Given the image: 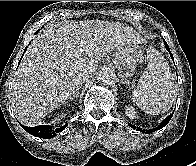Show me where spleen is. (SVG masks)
Returning a JSON list of instances; mask_svg holds the SVG:
<instances>
[{"label":"spleen","instance_id":"spleen-1","mask_svg":"<svg viewBox=\"0 0 196 166\" xmlns=\"http://www.w3.org/2000/svg\"><path fill=\"white\" fill-rule=\"evenodd\" d=\"M148 65L133 93V102L149 114L168 111L176 98V83L168 63L155 49L147 50Z\"/></svg>","mask_w":196,"mask_h":166}]
</instances>
